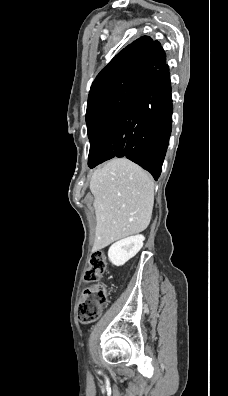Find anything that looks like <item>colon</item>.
<instances>
[{"label": "colon", "instance_id": "1", "mask_svg": "<svg viewBox=\"0 0 228 396\" xmlns=\"http://www.w3.org/2000/svg\"><path fill=\"white\" fill-rule=\"evenodd\" d=\"M106 266V256L102 252L97 251L91 254L83 279L87 283L94 284L85 289L78 305V319L82 323L95 321L107 305V291L97 283L104 274Z\"/></svg>", "mask_w": 228, "mask_h": 396}]
</instances>
